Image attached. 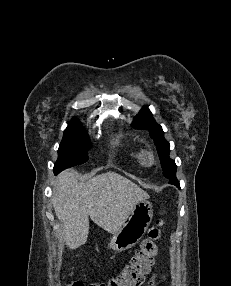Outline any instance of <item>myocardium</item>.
Segmentation results:
<instances>
[{
  "label": "myocardium",
  "mask_w": 231,
  "mask_h": 286,
  "mask_svg": "<svg viewBox=\"0 0 231 286\" xmlns=\"http://www.w3.org/2000/svg\"><path fill=\"white\" fill-rule=\"evenodd\" d=\"M155 162H156V158H155L153 152H151V151L144 152V155H143V164L144 165L152 166L155 164Z\"/></svg>",
  "instance_id": "1"
}]
</instances>
